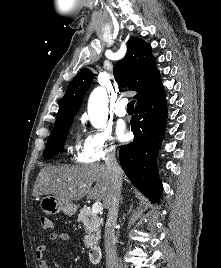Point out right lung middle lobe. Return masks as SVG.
<instances>
[{"instance_id": "dd1d6c3e", "label": "right lung middle lobe", "mask_w": 221, "mask_h": 268, "mask_svg": "<svg viewBox=\"0 0 221 268\" xmlns=\"http://www.w3.org/2000/svg\"><path fill=\"white\" fill-rule=\"evenodd\" d=\"M72 123L73 120H69L54 126L52 134L47 141L46 149L43 153L44 157L55 156L63 149L66 136Z\"/></svg>"}]
</instances>
